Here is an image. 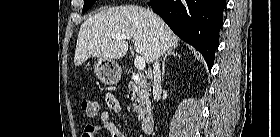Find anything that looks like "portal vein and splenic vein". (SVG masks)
I'll return each mask as SVG.
<instances>
[{"mask_svg": "<svg viewBox=\"0 0 280 137\" xmlns=\"http://www.w3.org/2000/svg\"><path fill=\"white\" fill-rule=\"evenodd\" d=\"M110 39H122V40H130L131 37L128 36V35H114L112 36ZM134 65L135 67L138 69V70H143L145 68V61L143 59V57L141 56H136L135 59H134Z\"/></svg>", "mask_w": 280, "mask_h": 137, "instance_id": "portal-vein-and-splenic-vein-1", "label": "portal vein and splenic vein"}]
</instances>
